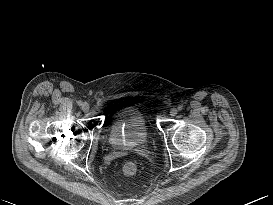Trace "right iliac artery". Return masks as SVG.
Returning <instances> with one entry per match:
<instances>
[{
  "label": "right iliac artery",
  "instance_id": "82829eb1",
  "mask_svg": "<svg viewBox=\"0 0 273 205\" xmlns=\"http://www.w3.org/2000/svg\"><path fill=\"white\" fill-rule=\"evenodd\" d=\"M78 105H79V106H81V105H82V102H81V101H79V102H78Z\"/></svg>",
  "mask_w": 273,
  "mask_h": 205
}]
</instances>
